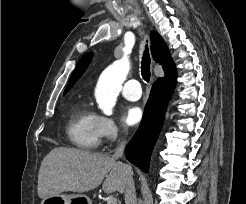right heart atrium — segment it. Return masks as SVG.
I'll list each match as a JSON object with an SVG mask.
<instances>
[{
	"label": "right heart atrium",
	"instance_id": "d8ad5b80",
	"mask_svg": "<svg viewBox=\"0 0 246 204\" xmlns=\"http://www.w3.org/2000/svg\"><path fill=\"white\" fill-rule=\"evenodd\" d=\"M99 130L101 138L111 142L125 134V128L109 116H99Z\"/></svg>",
	"mask_w": 246,
	"mask_h": 204
}]
</instances>
